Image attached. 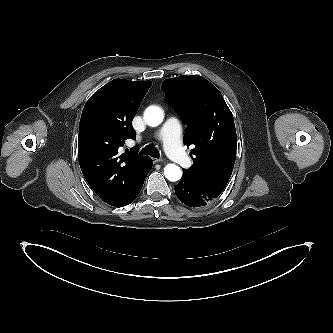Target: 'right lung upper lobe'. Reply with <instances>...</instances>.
Listing matches in <instances>:
<instances>
[{
	"label": "right lung upper lobe",
	"instance_id": "right-lung-upper-lobe-1",
	"mask_svg": "<svg viewBox=\"0 0 333 333\" xmlns=\"http://www.w3.org/2000/svg\"><path fill=\"white\" fill-rule=\"evenodd\" d=\"M151 84L114 79L89 98L81 115V170L96 194L115 207L126 205L151 162L137 150L120 152L125 140L136 138L131 123Z\"/></svg>",
	"mask_w": 333,
	"mask_h": 333
}]
</instances>
